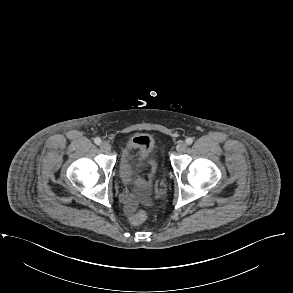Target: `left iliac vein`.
I'll return each instance as SVG.
<instances>
[{
	"mask_svg": "<svg viewBox=\"0 0 293 293\" xmlns=\"http://www.w3.org/2000/svg\"><path fill=\"white\" fill-rule=\"evenodd\" d=\"M186 148H187V144L184 141L179 142L176 146V150L179 153H183L186 150Z\"/></svg>",
	"mask_w": 293,
	"mask_h": 293,
	"instance_id": "4c4485c4",
	"label": "left iliac vein"
}]
</instances>
